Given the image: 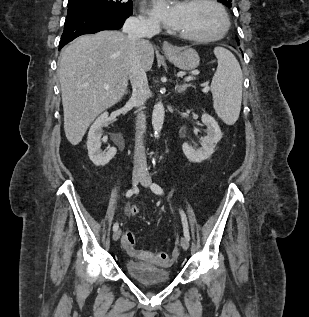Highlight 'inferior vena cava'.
Wrapping results in <instances>:
<instances>
[{"label": "inferior vena cava", "instance_id": "1", "mask_svg": "<svg viewBox=\"0 0 309 317\" xmlns=\"http://www.w3.org/2000/svg\"><path fill=\"white\" fill-rule=\"evenodd\" d=\"M160 27L155 22L140 21L135 17L128 18L123 26V32L127 33L129 40L136 44L143 37H152L157 34ZM129 79L132 84V96L130 101L138 108L136 119L135 153H134V171L145 172L147 170L145 147L143 136L146 131V117L143 113L144 103L150 95L146 72L141 63L139 53L134 47L131 54V63L129 67Z\"/></svg>", "mask_w": 309, "mask_h": 317}]
</instances>
